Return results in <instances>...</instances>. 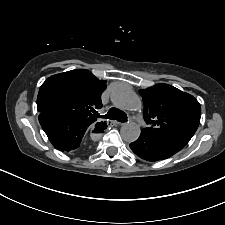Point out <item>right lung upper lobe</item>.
I'll return each instance as SVG.
<instances>
[{
	"label": "right lung upper lobe",
	"mask_w": 225,
	"mask_h": 225,
	"mask_svg": "<svg viewBox=\"0 0 225 225\" xmlns=\"http://www.w3.org/2000/svg\"><path fill=\"white\" fill-rule=\"evenodd\" d=\"M106 81L97 79L91 72L75 69L50 76L40 87L37 109L81 119L98 129L106 124L97 122V109L102 107L101 94Z\"/></svg>",
	"instance_id": "obj_1"
}]
</instances>
